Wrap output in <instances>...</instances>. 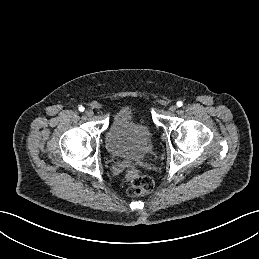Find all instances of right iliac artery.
Returning a JSON list of instances; mask_svg holds the SVG:
<instances>
[{"label":"right iliac artery","mask_w":259,"mask_h":259,"mask_svg":"<svg viewBox=\"0 0 259 259\" xmlns=\"http://www.w3.org/2000/svg\"><path fill=\"white\" fill-rule=\"evenodd\" d=\"M84 109H85V108H84L83 106H80V107H79V111H80V112H83Z\"/></svg>","instance_id":"82829eb1"}]
</instances>
